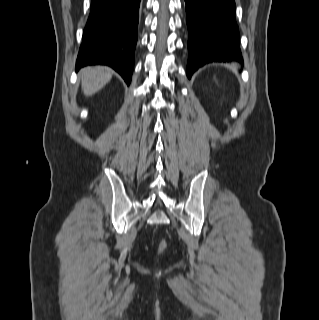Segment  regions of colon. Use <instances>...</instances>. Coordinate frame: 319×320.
<instances>
[{
	"mask_svg": "<svg viewBox=\"0 0 319 320\" xmlns=\"http://www.w3.org/2000/svg\"><path fill=\"white\" fill-rule=\"evenodd\" d=\"M159 246H160V249H162V250L165 249V247H166V242H165L164 240L160 241Z\"/></svg>",
	"mask_w": 319,
	"mask_h": 320,
	"instance_id": "1",
	"label": "colon"
}]
</instances>
